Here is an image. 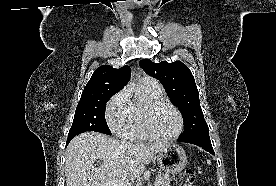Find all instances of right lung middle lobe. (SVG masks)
I'll use <instances>...</instances> for the list:
<instances>
[{
  "label": "right lung middle lobe",
  "instance_id": "dd1d6c3e",
  "mask_svg": "<svg viewBox=\"0 0 276 186\" xmlns=\"http://www.w3.org/2000/svg\"><path fill=\"white\" fill-rule=\"evenodd\" d=\"M116 93L108 90L83 92L68 136L87 131L111 135L105 120V107L108 100Z\"/></svg>",
  "mask_w": 276,
  "mask_h": 186
}]
</instances>
